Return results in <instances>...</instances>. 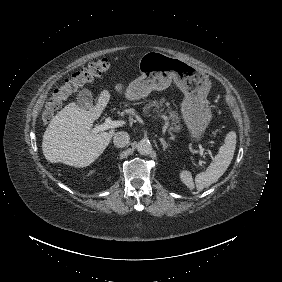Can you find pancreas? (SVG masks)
Masks as SVG:
<instances>
[{"instance_id":"pancreas-1","label":"pancreas","mask_w":282,"mask_h":282,"mask_svg":"<svg viewBox=\"0 0 282 282\" xmlns=\"http://www.w3.org/2000/svg\"><path fill=\"white\" fill-rule=\"evenodd\" d=\"M163 105L167 107V112H164L163 108L161 111H159V114L164 119V121L168 123L170 130L177 133L181 132L183 129V125L181 124L182 117L179 116L177 110L169 111L171 109V106L168 102H165V99H160L159 102L157 100H152L143 107V112L147 113V109H150L151 107H156L155 109H159ZM167 114L169 115L167 116Z\"/></svg>"}]
</instances>
